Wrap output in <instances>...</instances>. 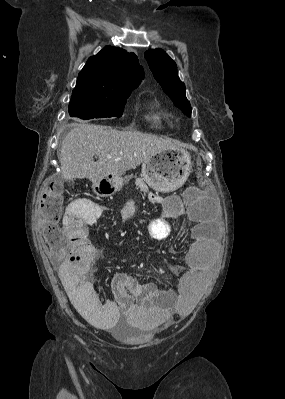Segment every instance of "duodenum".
Returning <instances> with one entry per match:
<instances>
[{"label":"duodenum","mask_w":285,"mask_h":399,"mask_svg":"<svg viewBox=\"0 0 285 399\" xmlns=\"http://www.w3.org/2000/svg\"><path fill=\"white\" fill-rule=\"evenodd\" d=\"M75 216H76L77 219H83L82 215L79 214V212H76V213H75Z\"/></svg>","instance_id":"duodenum-1"}]
</instances>
